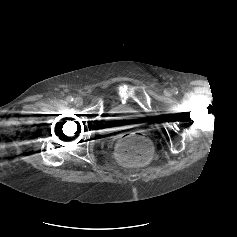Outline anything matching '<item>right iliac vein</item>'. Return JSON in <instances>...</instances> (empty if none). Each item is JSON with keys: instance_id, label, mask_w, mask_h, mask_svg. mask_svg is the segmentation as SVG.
I'll use <instances>...</instances> for the list:
<instances>
[{"instance_id": "1", "label": "right iliac vein", "mask_w": 237, "mask_h": 237, "mask_svg": "<svg viewBox=\"0 0 237 237\" xmlns=\"http://www.w3.org/2000/svg\"><path fill=\"white\" fill-rule=\"evenodd\" d=\"M74 104L77 106V107H80L83 105V99L81 97H76L74 99Z\"/></svg>"}]
</instances>
